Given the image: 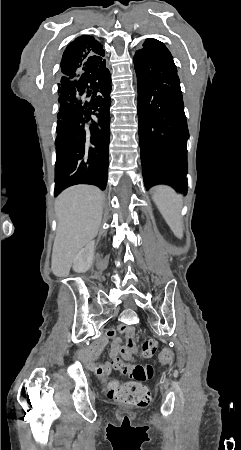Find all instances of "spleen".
<instances>
[{"instance_id": "obj_1", "label": "spleen", "mask_w": 241, "mask_h": 450, "mask_svg": "<svg viewBox=\"0 0 241 450\" xmlns=\"http://www.w3.org/2000/svg\"><path fill=\"white\" fill-rule=\"evenodd\" d=\"M152 200H154L160 214L165 222L170 226L174 236L182 238L183 228L180 216L182 208V196L176 194L170 186H155L152 190Z\"/></svg>"}]
</instances>
